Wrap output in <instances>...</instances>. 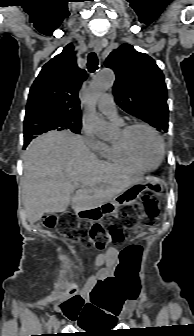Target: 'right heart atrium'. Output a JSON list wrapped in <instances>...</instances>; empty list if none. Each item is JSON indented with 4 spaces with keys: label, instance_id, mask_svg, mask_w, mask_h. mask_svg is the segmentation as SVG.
<instances>
[{
    "label": "right heart atrium",
    "instance_id": "obj_1",
    "mask_svg": "<svg viewBox=\"0 0 194 336\" xmlns=\"http://www.w3.org/2000/svg\"><path fill=\"white\" fill-rule=\"evenodd\" d=\"M82 137L85 145L94 152H98L104 143L86 127L82 130Z\"/></svg>",
    "mask_w": 194,
    "mask_h": 336
}]
</instances>
